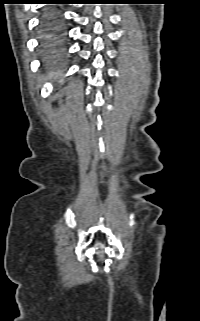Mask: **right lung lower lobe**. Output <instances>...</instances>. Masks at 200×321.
<instances>
[{
    "label": "right lung lower lobe",
    "instance_id": "obj_1",
    "mask_svg": "<svg viewBox=\"0 0 200 321\" xmlns=\"http://www.w3.org/2000/svg\"><path fill=\"white\" fill-rule=\"evenodd\" d=\"M48 3H60L59 0H47ZM44 23L46 25L47 31L49 33L52 42L58 43L61 41V26L58 14L53 9L47 11V15L44 18Z\"/></svg>",
    "mask_w": 200,
    "mask_h": 321
}]
</instances>
